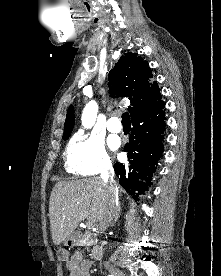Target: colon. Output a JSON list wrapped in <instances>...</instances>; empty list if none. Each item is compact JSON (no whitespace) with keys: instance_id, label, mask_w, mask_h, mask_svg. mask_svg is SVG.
Here are the masks:
<instances>
[{"instance_id":"1","label":"colon","mask_w":221,"mask_h":276,"mask_svg":"<svg viewBox=\"0 0 221 276\" xmlns=\"http://www.w3.org/2000/svg\"><path fill=\"white\" fill-rule=\"evenodd\" d=\"M58 260L61 262H67L69 260V253L65 249H59L57 251Z\"/></svg>"}]
</instances>
